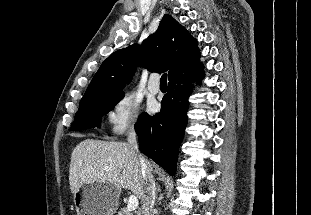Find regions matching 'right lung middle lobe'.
Masks as SVG:
<instances>
[{
	"label": "right lung middle lobe",
	"mask_w": 311,
	"mask_h": 215,
	"mask_svg": "<svg viewBox=\"0 0 311 215\" xmlns=\"http://www.w3.org/2000/svg\"><path fill=\"white\" fill-rule=\"evenodd\" d=\"M123 97L124 94L109 95L80 103L77 117L71 130L77 131L93 128L95 126L99 127L102 116L111 111Z\"/></svg>",
	"instance_id": "right-lung-middle-lobe-1"
}]
</instances>
